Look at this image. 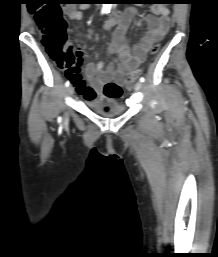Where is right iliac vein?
<instances>
[{
  "instance_id": "right-iliac-vein-1",
  "label": "right iliac vein",
  "mask_w": 218,
  "mask_h": 257,
  "mask_svg": "<svg viewBox=\"0 0 218 257\" xmlns=\"http://www.w3.org/2000/svg\"><path fill=\"white\" fill-rule=\"evenodd\" d=\"M67 93H68V95H69V96H72V95H73V93H74V89H73V87H72V86H69V87H68V89H67Z\"/></svg>"
}]
</instances>
